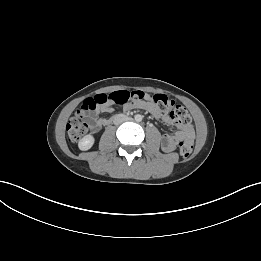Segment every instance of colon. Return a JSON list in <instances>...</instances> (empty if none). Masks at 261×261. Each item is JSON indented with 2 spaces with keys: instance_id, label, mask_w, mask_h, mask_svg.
I'll list each match as a JSON object with an SVG mask.
<instances>
[{
  "instance_id": "obj_1",
  "label": "colon",
  "mask_w": 261,
  "mask_h": 261,
  "mask_svg": "<svg viewBox=\"0 0 261 261\" xmlns=\"http://www.w3.org/2000/svg\"><path fill=\"white\" fill-rule=\"evenodd\" d=\"M111 104L122 107L149 104L162 114L169 112V117L175 123L187 125L191 121L188 110L181 105H174L173 101L166 95H151L142 91L121 90L109 95L100 94L84 100L81 108L69 119L66 125L68 139L71 142H78L88 131L89 126L86 119L90 118L93 112ZM179 152L183 158H189L193 153L192 140H184L180 144Z\"/></svg>"
}]
</instances>
